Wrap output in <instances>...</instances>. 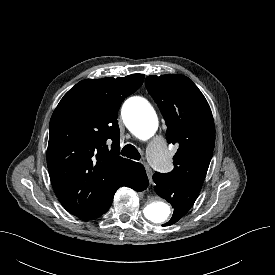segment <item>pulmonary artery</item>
<instances>
[{"mask_svg":"<svg viewBox=\"0 0 275 275\" xmlns=\"http://www.w3.org/2000/svg\"><path fill=\"white\" fill-rule=\"evenodd\" d=\"M148 158L151 164L158 170L165 168L167 155L165 142L161 137L154 138L148 145Z\"/></svg>","mask_w":275,"mask_h":275,"instance_id":"1","label":"pulmonary artery"}]
</instances>
